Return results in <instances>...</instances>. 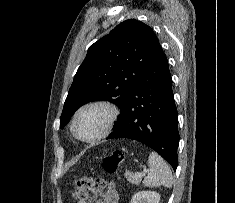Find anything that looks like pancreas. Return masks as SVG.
Listing matches in <instances>:
<instances>
[{"label": "pancreas", "mask_w": 235, "mask_h": 203, "mask_svg": "<svg viewBox=\"0 0 235 203\" xmlns=\"http://www.w3.org/2000/svg\"><path fill=\"white\" fill-rule=\"evenodd\" d=\"M125 177L127 178V180L135 185H139L141 183V178L140 177H136L132 172L130 171H126L125 172Z\"/></svg>", "instance_id": "obj_1"}]
</instances>
